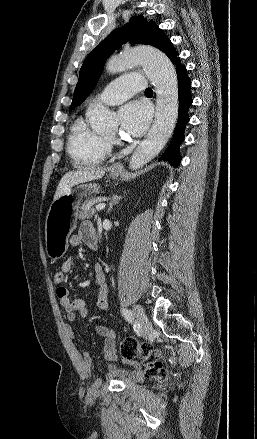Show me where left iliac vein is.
<instances>
[{"label":"left iliac vein","instance_id":"obj_1","mask_svg":"<svg viewBox=\"0 0 257 439\" xmlns=\"http://www.w3.org/2000/svg\"><path fill=\"white\" fill-rule=\"evenodd\" d=\"M133 314L134 322L139 326L142 334L144 336L148 335L150 332L149 321L143 307L136 304L133 309Z\"/></svg>","mask_w":257,"mask_h":439}]
</instances>
